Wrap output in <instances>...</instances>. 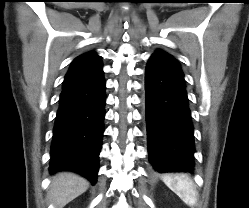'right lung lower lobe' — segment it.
I'll return each mask as SVG.
<instances>
[{
	"label": "right lung lower lobe",
	"mask_w": 249,
	"mask_h": 208,
	"mask_svg": "<svg viewBox=\"0 0 249 208\" xmlns=\"http://www.w3.org/2000/svg\"><path fill=\"white\" fill-rule=\"evenodd\" d=\"M105 102L103 72L62 90L53 129L50 173L73 171L96 183Z\"/></svg>",
	"instance_id": "obj_1"
}]
</instances>
